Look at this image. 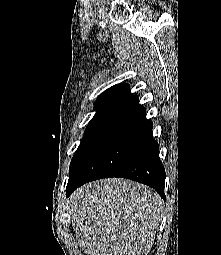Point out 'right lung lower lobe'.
I'll list each match as a JSON object with an SVG mask.
<instances>
[{
	"instance_id": "obj_1",
	"label": "right lung lower lobe",
	"mask_w": 221,
	"mask_h": 255,
	"mask_svg": "<svg viewBox=\"0 0 221 255\" xmlns=\"http://www.w3.org/2000/svg\"><path fill=\"white\" fill-rule=\"evenodd\" d=\"M152 122L137 99L117 109L69 174L67 197L83 184L107 177L131 179L154 188L165 200V169Z\"/></svg>"
}]
</instances>
